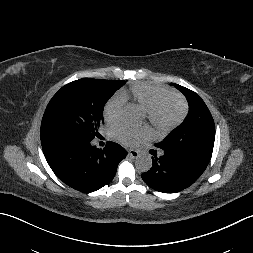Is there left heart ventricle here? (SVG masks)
<instances>
[{
  "mask_svg": "<svg viewBox=\"0 0 253 253\" xmlns=\"http://www.w3.org/2000/svg\"><path fill=\"white\" fill-rule=\"evenodd\" d=\"M178 113V107L173 101H167L162 106L159 118L163 122H168L172 120Z\"/></svg>",
  "mask_w": 253,
  "mask_h": 253,
  "instance_id": "left-heart-ventricle-1",
  "label": "left heart ventricle"
}]
</instances>
